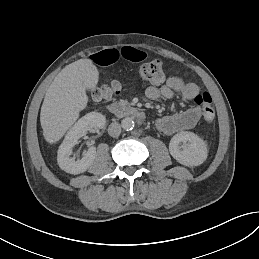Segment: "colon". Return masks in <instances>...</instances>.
I'll return each mask as SVG.
<instances>
[{
  "label": "colon",
  "mask_w": 259,
  "mask_h": 259,
  "mask_svg": "<svg viewBox=\"0 0 259 259\" xmlns=\"http://www.w3.org/2000/svg\"><path fill=\"white\" fill-rule=\"evenodd\" d=\"M139 76L143 81L153 85L162 83L165 78L163 62L158 58H154L144 63L140 67ZM118 90L119 85L116 83L105 85L94 89L92 96L97 100L105 99L117 93ZM195 103L202 107L205 121L207 123H213L215 120V110L210 94L207 92L199 93L195 97Z\"/></svg>",
  "instance_id": "obj_1"
}]
</instances>
